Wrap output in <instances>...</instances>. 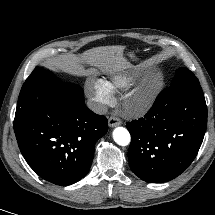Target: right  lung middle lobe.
<instances>
[{"label": "right lung middle lobe", "mask_w": 215, "mask_h": 215, "mask_svg": "<svg viewBox=\"0 0 215 215\" xmlns=\"http://www.w3.org/2000/svg\"><path fill=\"white\" fill-rule=\"evenodd\" d=\"M66 84L52 72L37 66L26 79L20 91L14 119V131L19 130L35 114L49 93Z\"/></svg>", "instance_id": "1"}]
</instances>
